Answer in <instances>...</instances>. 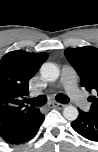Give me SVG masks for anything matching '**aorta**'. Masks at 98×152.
Returning a JSON list of instances; mask_svg holds the SVG:
<instances>
[{
  "label": "aorta",
  "instance_id": "1",
  "mask_svg": "<svg viewBox=\"0 0 98 152\" xmlns=\"http://www.w3.org/2000/svg\"><path fill=\"white\" fill-rule=\"evenodd\" d=\"M40 73L49 82L57 80L60 75L59 68L54 63H44L40 68ZM78 114V109L72 105H68L63 109V116L69 121L77 119Z\"/></svg>",
  "mask_w": 98,
  "mask_h": 152
}]
</instances>
